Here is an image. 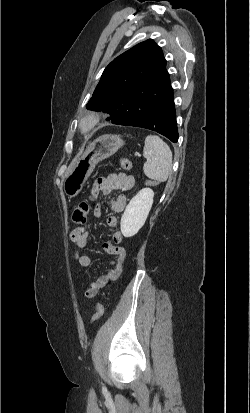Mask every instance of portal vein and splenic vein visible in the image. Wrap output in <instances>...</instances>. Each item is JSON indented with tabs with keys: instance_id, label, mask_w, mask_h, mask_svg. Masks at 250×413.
<instances>
[{
	"instance_id": "18ae733b",
	"label": "portal vein and splenic vein",
	"mask_w": 250,
	"mask_h": 413,
	"mask_svg": "<svg viewBox=\"0 0 250 413\" xmlns=\"http://www.w3.org/2000/svg\"><path fill=\"white\" fill-rule=\"evenodd\" d=\"M137 155V157H141V155L140 154H136Z\"/></svg>"
}]
</instances>
